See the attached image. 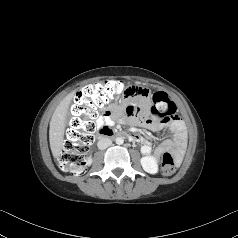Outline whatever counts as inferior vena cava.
I'll return each mask as SVG.
<instances>
[{
	"label": "inferior vena cava",
	"mask_w": 238,
	"mask_h": 238,
	"mask_svg": "<svg viewBox=\"0 0 238 238\" xmlns=\"http://www.w3.org/2000/svg\"><path fill=\"white\" fill-rule=\"evenodd\" d=\"M112 145V141L109 138H102L98 141L97 146L99 149L103 150Z\"/></svg>",
	"instance_id": "inferior-vena-cava-1"
}]
</instances>
